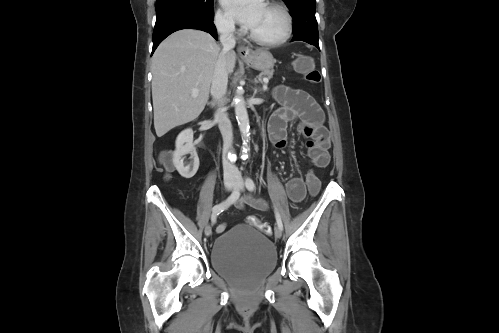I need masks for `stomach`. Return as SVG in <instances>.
<instances>
[{"label":"stomach","mask_w":499,"mask_h":333,"mask_svg":"<svg viewBox=\"0 0 499 333\" xmlns=\"http://www.w3.org/2000/svg\"><path fill=\"white\" fill-rule=\"evenodd\" d=\"M244 62L259 71H268L274 67L276 60L273 55L264 49L251 51L248 56L243 57Z\"/></svg>","instance_id":"1"}]
</instances>
